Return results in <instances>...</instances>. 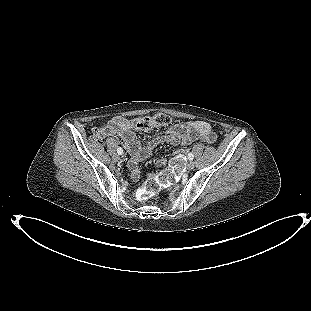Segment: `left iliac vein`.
I'll return each instance as SVG.
<instances>
[{
  "mask_svg": "<svg viewBox=\"0 0 311 311\" xmlns=\"http://www.w3.org/2000/svg\"><path fill=\"white\" fill-rule=\"evenodd\" d=\"M194 166H195L194 162L190 161V162H188L186 167L188 170H192L194 168Z\"/></svg>",
  "mask_w": 311,
  "mask_h": 311,
  "instance_id": "obj_1",
  "label": "left iliac vein"
}]
</instances>
